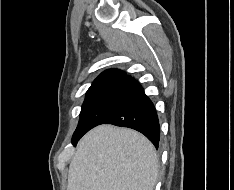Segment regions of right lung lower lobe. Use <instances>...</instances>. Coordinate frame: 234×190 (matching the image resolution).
I'll return each mask as SVG.
<instances>
[{
    "mask_svg": "<svg viewBox=\"0 0 234 190\" xmlns=\"http://www.w3.org/2000/svg\"><path fill=\"white\" fill-rule=\"evenodd\" d=\"M100 124L135 129L145 135L156 148L159 146L160 126L156 109L141 85L131 76L128 77L118 100ZM80 138L72 139V144L76 145Z\"/></svg>",
    "mask_w": 234,
    "mask_h": 190,
    "instance_id": "98d812e1",
    "label": "right lung lower lobe"
}]
</instances>
